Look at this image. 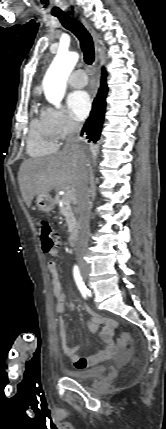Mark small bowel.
<instances>
[{"mask_svg": "<svg viewBox=\"0 0 166 429\" xmlns=\"http://www.w3.org/2000/svg\"><path fill=\"white\" fill-rule=\"evenodd\" d=\"M58 253L59 251L57 248H54L48 252L51 257L58 256ZM48 270L53 278L52 292L55 301V308L59 314H62L64 313L66 308L67 293L62 287L57 263L55 261H50L48 263ZM84 308L90 316V319L87 322L88 331L91 333H95L99 329V327H102L99 337L105 347L92 356H80L77 353V349L71 347L68 344L65 321L63 318H59L58 326L61 338V346L64 354L69 360L73 362L74 366L78 369H86L113 357L124 358L125 356H127L129 354V350H126L125 347H120L119 345H116L114 343L113 336L116 328L114 321L102 317L101 315L94 312L87 305H84Z\"/></svg>", "mask_w": 166, "mask_h": 429, "instance_id": "1", "label": "small bowel"}]
</instances>
